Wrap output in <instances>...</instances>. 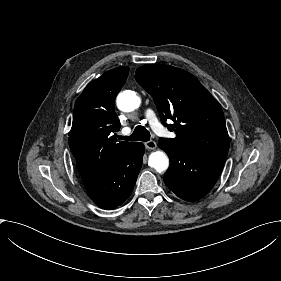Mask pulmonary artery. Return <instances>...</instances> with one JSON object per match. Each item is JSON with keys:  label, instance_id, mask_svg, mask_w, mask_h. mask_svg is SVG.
<instances>
[{"label": "pulmonary artery", "instance_id": "1", "mask_svg": "<svg viewBox=\"0 0 281 281\" xmlns=\"http://www.w3.org/2000/svg\"><path fill=\"white\" fill-rule=\"evenodd\" d=\"M145 117H146V119L148 120L150 126L152 127V129L155 132H159L161 130V124L158 121V119L156 117V114H155V112L153 110L147 109L145 111ZM121 133L122 134H127V133H129V129L128 128H124V129H122Z\"/></svg>", "mask_w": 281, "mask_h": 281}]
</instances>
